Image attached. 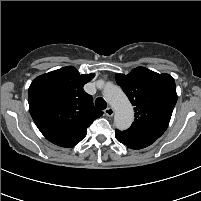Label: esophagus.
Returning a JSON list of instances; mask_svg holds the SVG:
<instances>
[{"instance_id": "34e87169", "label": "esophagus", "mask_w": 201, "mask_h": 201, "mask_svg": "<svg viewBox=\"0 0 201 201\" xmlns=\"http://www.w3.org/2000/svg\"><path fill=\"white\" fill-rule=\"evenodd\" d=\"M104 113H105L106 116L112 117L113 114H114V110H113L112 107H108V108H106V109L104 110Z\"/></svg>"}]
</instances>
